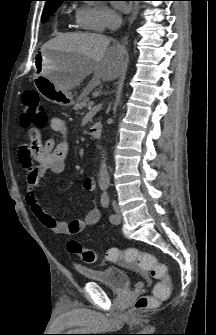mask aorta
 <instances>
[{
	"label": "aorta",
	"instance_id": "1",
	"mask_svg": "<svg viewBox=\"0 0 216 335\" xmlns=\"http://www.w3.org/2000/svg\"><path fill=\"white\" fill-rule=\"evenodd\" d=\"M119 101H120V95L119 93H117L115 106L119 103ZM109 184H110V176L108 172V167L106 165V162L102 161L99 170V185L108 186Z\"/></svg>",
	"mask_w": 216,
	"mask_h": 335
}]
</instances>
